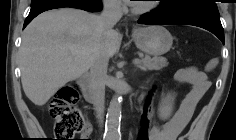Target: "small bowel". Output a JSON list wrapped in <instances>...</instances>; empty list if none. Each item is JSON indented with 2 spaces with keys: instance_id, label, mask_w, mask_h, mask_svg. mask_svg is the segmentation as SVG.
Returning <instances> with one entry per match:
<instances>
[{
  "instance_id": "1",
  "label": "small bowel",
  "mask_w": 236,
  "mask_h": 140,
  "mask_svg": "<svg viewBox=\"0 0 236 140\" xmlns=\"http://www.w3.org/2000/svg\"><path fill=\"white\" fill-rule=\"evenodd\" d=\"M211 66L212 64L208 68ZM175 79L191 85V89L181 100L178 109L168 121L161 127L153 126L151 128L149 140H179L180 134L190 122L199 101L211 86L207 73L193 66L177 70ZM91 132V125L86 123L82 130V137L89 138Z\"/></svg>"
}]
</instances>
